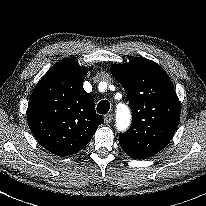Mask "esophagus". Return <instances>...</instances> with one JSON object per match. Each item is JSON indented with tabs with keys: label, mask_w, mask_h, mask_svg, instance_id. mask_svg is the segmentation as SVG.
Here are the masks:
<instances>
[{
	"label": "esophagus",
	"mask_w": 206,
	"mask_h": 206,
	"mask_svg": "<svg viewBox=\"0 0 206 206\" xmlns=\"http://www.w3.org/2000/svg\"><path fill=\"white\" fill-rule=\"evenodd\" d=\"M112 118H113L112 114L105 115L104 116L105 124H107V125L110 124L112 121Z\"/></svg>",
	"instance_id": "1"
}]
</instances>
